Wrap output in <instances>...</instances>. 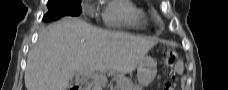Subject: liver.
I'll list each match as a JSON object with an SVG mask.
<instances>
[{
	"mask_svg": "<svg viewBox=\"0 0 228 90\" xmlns=\"http://www.w3.org/2000/svg\"><path fill=\"white\" fill-rule=\"evenodd\" d=\"M156 40L93 27L78 18H64L39 33L27 57V90H66L78 71L135 70Z\"/></svg>",
	"mask_w": 228,
	"mask_h": 90,
	"instance_id": "6515ba94",
	"label": "liver"
}]
</instances>
